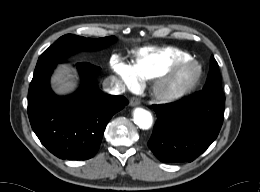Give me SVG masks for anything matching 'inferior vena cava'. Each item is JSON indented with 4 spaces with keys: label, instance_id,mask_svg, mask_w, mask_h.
Segmentation results:
<instances>
[{
    "label": "inferior vena cava",
    "instance_id": "602c4592",
    "mask_svg": "<svg viewBox=\"0 0 260 192\" xmlns=\"http://www.w3.org/2000/svg\"><path fill=\"white\" fill-rule=\"evenodd\" d=\"M103 89L106 93L119 95L125 92L124 83L114 76L107 77L103 82Z\"/></svg>",
    "mask_w": 260,
    "mask_h": 192
}]
</instances>
